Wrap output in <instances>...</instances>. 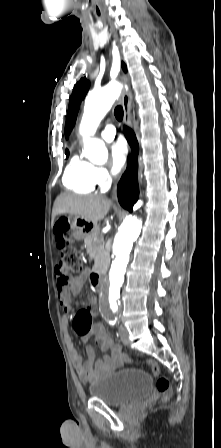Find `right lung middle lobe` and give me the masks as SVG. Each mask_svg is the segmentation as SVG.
Returning <instances> with one entry per match:
<instances>
[{"label":"right lung middle lobe","instance_id":"right-lung-middle-lobe-1","mask_svg":"<svg viewBox=\"0 0 221 448\" xmlns=\"http://www.w3.org/2000/svg\"><path fill=\"white\" fill-rule=\"evenodd\" d=\"M68 155H69V153H68V152H66V157H68Z\"/></svg>","mask_w":221,"mask_h":448}]
</instances>
